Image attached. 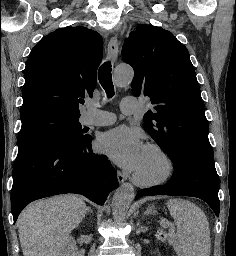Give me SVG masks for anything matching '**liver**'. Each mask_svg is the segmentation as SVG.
I'll return each mask as SVG.
<instances>
[{
    "label": "liver",
    "mask_w": 236,
    "mask_h": 256,
    "mask_svg": "<svg viewBox=\"0 0 236 256\" xmlns=\"http://www.w3.org/2000/svg\"><path fill=\"white\" fill-rule=\"evenodd\" d=\"M87 210L78 196H56L30 204L18 218L23 256H63L67 238Z\"/></svg>",
    "instance_id": "obj_1"
}]
</instances>
